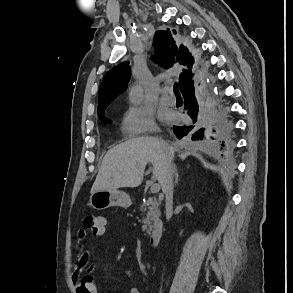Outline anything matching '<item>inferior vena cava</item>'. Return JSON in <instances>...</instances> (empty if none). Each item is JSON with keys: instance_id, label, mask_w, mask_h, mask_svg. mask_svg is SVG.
Here are the masks:
<instances>
[{"instance_id": "1", "label": "inferior vena cava", "mask_w": 293, "mask_h": 293, "mask_svg": "<svg viewBox=\"0 0 293 293\" xmlns=\"http://www.w3.org/2000/svg\"><path fill=\"white\" fill-rule=\"evenodd\" d=\"M173 175H174V166L172 164V159L169 158L166 165V172H165L163 181L161 183L162 191L165 193V208H166L167 220L170 219L171 210L173 206Z\"/></svg>"}]
</instances>
